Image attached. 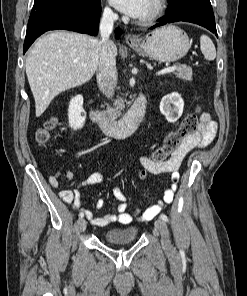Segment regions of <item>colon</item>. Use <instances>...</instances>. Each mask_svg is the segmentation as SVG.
Masks as SVG:
<instances>
[{
    "label": "colon",
    "instance_id": "obj_1",
    "mask_svg": "<svg viewBox=\"0 0 247 296\" xmlns=\"http://www.w3.org/2000/svg\"><path fill=\"white\" fill-rule=\"evenodd\" d=\"M198 109L189 113L184 117L179 127L170 132L163 140V143L153 152L152 160L156 163L165 162L172 153L177 151L182 142L189 136L196 133L198 129ZM55 127L54 121L47 122L46 126L37 133V140L41 144H45L51 140L50 131ZM145 175V171L141 172V176ZM173 179L178 182L179 177L174 176Z\"/></svg>",
    "mask_w": 247,
    "mask_h": 296
}]
</instances>
